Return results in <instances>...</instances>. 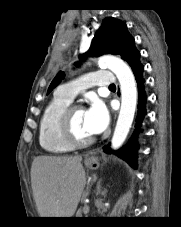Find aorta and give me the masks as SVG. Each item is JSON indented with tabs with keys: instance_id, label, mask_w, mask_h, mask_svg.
Listing matches in <instances>:
<instances>
[{
	"instance_id": "762f6f07",
	"label": "aorta",
	"mask_w": 181,
	"mask_h": 227,
	"mask_svg": "<svg viewBox=\"0 0 181 227\" xmlns=\"http://www.w3.org/2000/svg\"><path fill=\"white\" fill-rule=\"evenodd\" d=\"M99 63L110 69L118 78L121 89V108L111 141L112 149H118L125 141L132 125L137 105V87L129 66L120 58L105 55Z\"/></svg>"
}]
</instances>
